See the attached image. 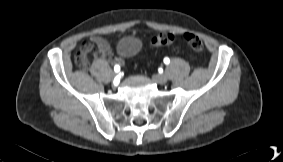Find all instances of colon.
<instances>
[{"mask_svg":"<svg viewBox=\"0 0 283 162\" xmlns=\"http://www.w3.org/2000/svg\"><path fill=\"white\" fill-rule=\"evenodd\" d=\"M185 42L195 51H201L203 49V43L201 39L192 33H185L183 36ZM175 36L171 33H160L152 39V45L155 47L166 46L173 43ZM75 63L84 68L88 65V54L78 53L75 57Z\"/></svg>","mask_w":283,"mask_h":162,"instance_id":"1","label":"colon"}]
</instances>
